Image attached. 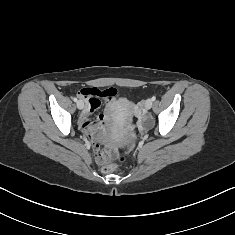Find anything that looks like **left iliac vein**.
Returning <instances> with one entry per match:
<instances>
[{"label":"left iliac vein","mask_w":235,"mask_h":235,"mask_svg":"<svg viewBox=\"0 0 235 235\" xmlns=\"http://www.w3.org/2000/svg\"><path fill=\"white\" fill-rule=\"evenodd\" d=\"M152 105H153L152 99H147L144 103V106L146 109H150L152 107Z\"/></svg>","instance_id":"1"}]
</instances>
